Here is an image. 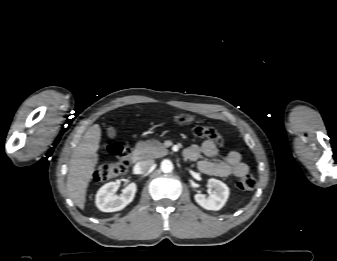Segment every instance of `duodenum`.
<instances>
[{
  "label": "duodenum",
  "mask_w": 337,
  "mask_h": 261,
  "mask_svg": "<svg viewBox=\"0 0 337 261\" xmlns=\"http://www.w3.org/2000/svg\"><path fill=\"white\" fill-rule=\"evenodd\" d=\"M141 159V153L139 150H134L131 154L132 162L136 163Z\"/></svg>",
  "instance_id": "duodenum-1"
}]
</instances>
